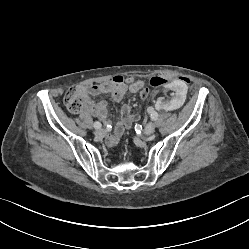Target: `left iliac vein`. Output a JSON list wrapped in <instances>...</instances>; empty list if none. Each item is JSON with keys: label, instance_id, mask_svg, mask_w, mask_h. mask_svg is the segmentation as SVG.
<instances>
[{"label": "left iliac vein", "instance_id": "4c4485c4", "mask_svg": "<svg viewBox=\"0 0 249 249\" xmlns=\"http://www.w3.org/2000/svg\"><path fill=\"white\" fill-rule=\"evenodd\" d=\"M154 131H155V123L149 122V123L145 126L143 133H144L145 135L149 136V135L153 134Z\"/></svg>", "mask_w": 249, "mask_h": 249}]
</instances>
